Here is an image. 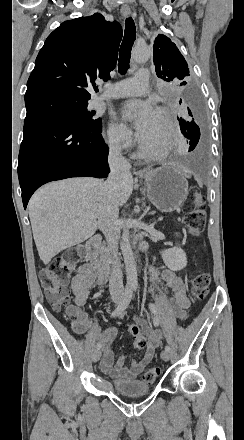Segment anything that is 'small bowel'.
<instances>
[{
	"label": "small bowel",
	"instance_id": "c3829d8e",
	"mask_svg": "<svg viewBox=\"0 0 244 440\" xmlns=\"http://www.w3.org/2000/svg\"><path fill=\"white\" fill-rule=\"evenodd\" d=\"M159 277L160 274L158 270L151 268V282L153 286L162 293L159 286ZM161 278L172 294L169 297L162 294V311L167 315L175 314L180 320H185L187 318L186 310L190 307L191 303L186 294L184 278L181 274L171 269L163 270ZM107 282V273H104L92 264L80 267L72 283L74 303H79L80 307L84 306L89 298L91 289L94 287H102L106 285ZM137 323L140 332L147 335L150 345L148 348H144V357L140 360H133L129 367L126 366V355H120L115 360L113 341L116 336V329L114 327H110L101 332L98 326L92 321H90L89 327H87V331L91 336L99 337V346L102 349V357L100 360L101 371L116 381L135 379L150 363L157 349L162 346L163 336L158 329L151 327L147 321L141 317L137 319Z\"/></svg>",
	"mask_w": 244,
	"mask_h": 440
}]
</instances>
